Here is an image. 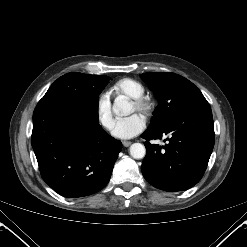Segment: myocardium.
<instances>
[{"instance_id": "f54148a6", "label": "myocardium", "mask_w": 247, "mask_h": 247, "mask_svg": "<svg viewBox=\"0 0 247 247\" xmlns=\"http://www.w3.org/2000/svg\"><path fill=\"white\" fill-rule=\"evenodd\" d=\"M133 105L137 111L145 115L150 114L153 108L152 102L144 96L133 99Z\"/></svg>"}]
</instances>
